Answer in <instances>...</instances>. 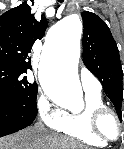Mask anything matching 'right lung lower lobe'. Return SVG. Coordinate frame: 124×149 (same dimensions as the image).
<instances>
[{
  "mask_svg": "<svg viewBox=\"0 0 124 149\" xmlns=\"http://www.w3.org/2000/svg\"><path fill=\"white\" fill-rule=\"evenodd\" d=\"M37 115V106L30 105L23 97L0 89V137L29 126Z\"/></svg>",
  "mask_w": 124,
  "mask_h": 149,
  "instance_id": "98d812e1",
  "label": "right lung lower lobe"
}]
</instances>
